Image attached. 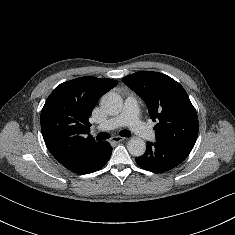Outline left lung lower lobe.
Masks as SVG:
<instances>
[{
  "mask_svg": "<svg viewBox=\"0 0 235 235\" xmlns=\"http://www.w3.org/2000/svg\"><path fill=\"white\" fill-rule=\"evenodd\" d=\"M191 150L161 142H147L144 155L136 157L137 164L151 172H165L183 162Z\"/></svg>",
  "mask_w": 235,
  "mask_h": 235,
  "instance_id": "0a47b994",
  "label": "left lung lower lobe"
}]
</instances>
